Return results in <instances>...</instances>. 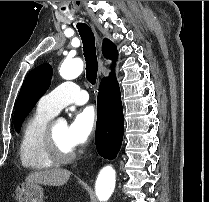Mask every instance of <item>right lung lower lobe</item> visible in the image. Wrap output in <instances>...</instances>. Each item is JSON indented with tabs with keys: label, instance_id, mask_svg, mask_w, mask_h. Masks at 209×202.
<instances>
[{
	"label": "right lung lower lobe",
	"instance_id": "98d812e1",
	"mask_svg": "<svg viewBox=\"0 0 209 202\" xmlns=\"http://www.w3.org/2000/svg\"><path fill=\"white\" fill-rule=\"evenodd\" d=\"M96 148L109 160L116 158L124 134V118L117 83H100L97 97Z\"/></svg>",
	"mask_w": 209,
	"mask_h": 202
}]
</instances>
